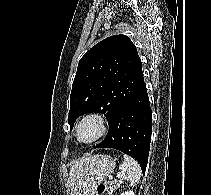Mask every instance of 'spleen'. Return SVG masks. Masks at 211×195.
Segmentation results:
<instances>
[{"label":"spleen","mask_w":211,"mask_h":195,"mask_svg":"<svg viewBox=\"0 0 211 195\" xmlns=\"http://www.w3.org/2000/svg\"><path fill=\"white\" fill-rule=\"evenodd\" d=\"M123 159L122 170L118 173V177L127 180L131 185H136L140 181L141 167L136 160L126 154L123 155Z\"/></svg>","instance_id":"3e777b00"}]
</instances>
